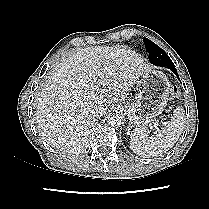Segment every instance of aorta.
Masks as SVG:
<instances>
[{"label":"aorta","instance_id":"762f6f07","mask_svg":"<svg viewBox=\"0 0 209 209\" xmlns=\"http://www.w3.org/2000/svg\"><path fill=\"white\" fill-rule=\"evenodd\" d=\"M107 123L113 127L122 124V116L119 113H110L107 115Z\"/></svg>","mask_w":209,"mask_h":209}]
</instances>
